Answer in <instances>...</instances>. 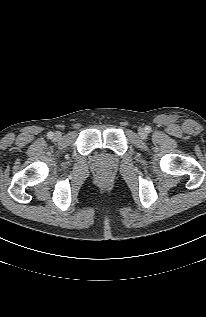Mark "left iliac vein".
Segmentation results:
<instances>
[{"instance_id": "1", "label": "left iliac vein", "mask_w": 206, "mask_h": 317, "mask_svg": "<svg viewBox=\"0 0 206 317\" xmlns=\"http://www.w3.org/2000/svg\"><path fill=\"white\" fill-rule=\"evenodd\" d=\"M139 135L141 136V137H146V131H145V129H143V128H141L140 130H139Z\"/></svg>"}]
</instances>
